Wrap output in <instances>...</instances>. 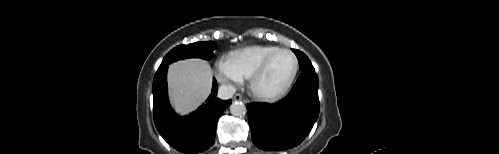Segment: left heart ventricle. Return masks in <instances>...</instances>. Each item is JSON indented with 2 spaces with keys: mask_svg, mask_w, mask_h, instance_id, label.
Wrapping results in <instances>:
<instances>
[{
  "mask_svg": "<svg viewBox=\"0 0 499 154\" xmlns=\"http://www.w3.org/2000/svg\"><path fill=\"white\" fill-rule=\"evenodd\" d=\"M292 68L293 60L291 56L287 53L278 54L259 80L257 88L263 93H272L278 90L288 78Z\"/></svg>",
  "mask_w": 499,
  "mask_h": 154,
  "instance_id": "obj_1",
  "label": "left heart ventricle"
}]
</instances>
